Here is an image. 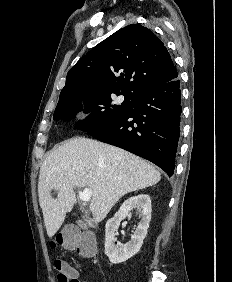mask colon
Wrapping results in <instances>:
<instances>
[{"mask_svg":"<svg viewBox=\"0 0 232 282\" xmlns=\"http://www.w3.org/2000/svg\"><path fill=\"white\" fill-rule=\"evenodd\" d=\"M54 246H61L67 250L75 251L83 256H91L94 251V243L88 234H79L74 231H66L59 234L53 241ZM57 272V282H77L72 274V267L62 259L56 258L53 262Z\"/></svg>","mask_w":232,"mask_h":282,"instance_id":"obj_1","label":"colon"}]
</instances>
